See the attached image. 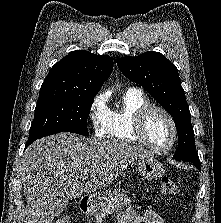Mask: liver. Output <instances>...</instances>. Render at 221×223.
Wrapping results in <instances>:
<instances>
[{
	"label": "liver",
	"mask_w": 221,
	"mask_h": 223,
	"mask_svg": "<svg viewBox=\"0 0 221 223\" xmlns=\"http://www.w3.org/2000/svg\"><path fill=\"white\" fill-rule=\"evenodd\" d=\"M151 153L123 141L58 133L32 143L20 169L26 196L23 223H52L62 198H78L111 184L136 159ZM90 176L82 184L81 177Z\"/></svg>",
	"instance_id": "1"
}]
</instances>
